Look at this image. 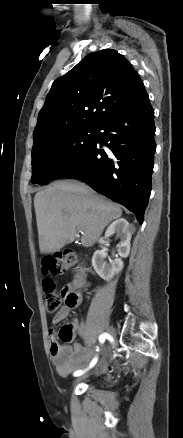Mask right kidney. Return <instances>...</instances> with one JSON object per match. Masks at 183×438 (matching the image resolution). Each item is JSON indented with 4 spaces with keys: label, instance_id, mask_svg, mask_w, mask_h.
Listing matches in <instances>:
<instances>
[{
    "label": "right kidney",
    "instance_id": "ca27d5eb",
    "mask_svg": "<svg viewBox=\"0 0 183 438\" xmlns=\"http://www.w3.org/2000/svg\"><path fill=\"white\" fill-rule=\"evenodd\" d=\"M133 232V225L129 224L126 219L119 218L108 226L105 238L116 233V236L120 239L117 245L118 254L121 258H126L130 252V240ZM106 257L107 253L104 250L95 251L92 257V265L102 279L109 281L122 270L123 261L121 258H116L114 260L109 259V262H106Z\"/></svg>",
    "mask_w": 183,
    "mask_h": 438
}]
</instances>
